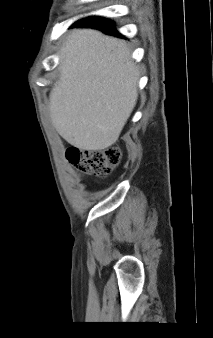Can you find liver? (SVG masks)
<instances>
[{"mask_svg":"<svg viewBox=\"0 0 213 338\" xmlns=\"http://www.w3.org/2000/svg\"><path fill=\"white\" fill-rule=\"evenodd\" d=\"M61 53L60 81L50 93L52 124L80 150H104L136 105L138 69L124 41L92 29L71 31Z\"/></svg>","mask_w":213,"mask_h":338,"instance_id":"1","label":"liver"}]
</instances>
